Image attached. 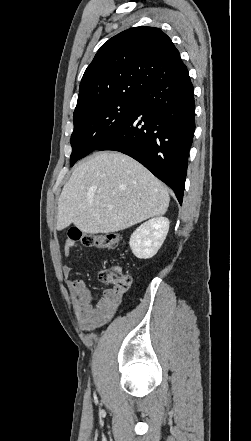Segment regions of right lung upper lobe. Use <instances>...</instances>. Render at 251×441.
<instances>
[{
	"label": "right lung upper lobe",
	"instance_id": "cb5924a9",
	"mask_svg": "<svg viewBox=\"0 0 251 441\" xmlns=\"http://www.w3.org/2000/svg\"><path fill=\"white\" fill-rule=\"evenodd\" d=\"M186 66L171 39L155 27H134L104 43L87 67L74 114L109 97L142 95Z\"/></svg>",
	"mask_w": 251,
	"mask_h": 441
}]
</instances>
